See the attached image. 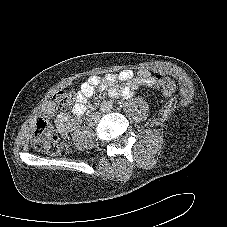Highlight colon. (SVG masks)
I'll list each match as a JSON object with an SVG mask.
<instances>
[{
    "mask_svg": "<svg viewBox=\"0 0 227 227\" xmlns=\"http://www.w3.org/2000/svg\"><path fill=\"white\" fill-rule=\"evenodd\" d=\"M156 82L164 95H171L176 90L175 81L169 76L157 75ZM72 99L71 92L59 91L44 102L42 114L36 120L32 136V145L37 151L50 155H63L68 151L67 140L54 131L48 119L58 109L68 108Z\"/></svg>",
    "mask_w": 227,
    "mask_h": 227,
    "instance_id": "5ec220e1",
    "label": "colon"
}]
</instances>
